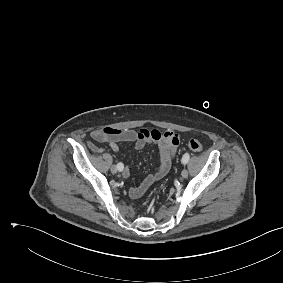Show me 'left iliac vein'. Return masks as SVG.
Segmentation results:
<instances>
[{
	"instance_id": "obj_1",
	"label": "left iliac vein",
	"mask_w": 283,
	"mask_h": 283,
	"mask_svg": "<svg viewBox=\"0 0 283 283\" xmlns=\"http://www.w3.org/2000/svg\"><path fill=\"white\" fill-rule=\"evenodd\" d=\"M181 177L182 178H187L188 177V171L186 169L182 170Z\"/></svg>"
}]
</instances>
